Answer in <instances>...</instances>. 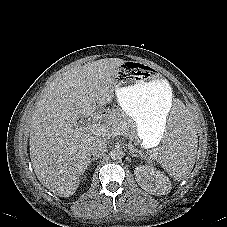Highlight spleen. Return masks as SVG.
<instances>
[{"mask_svg":"<svg viewBox=\"0 0 227 227\" xmlns=\"http://www.w3.org/2000/svg\"><path fill=\"white\" fill-rule=\"evenodd\" d=\"M192 108L185 101L176 102L169 121L163 127V143L145 151L140 159L142 169L156 174L163 169L176 181L192 171L197 154V132L191 118Z\"/></svg>","mask_w":227,"mask_h":227,"instance_id":"spleen-1","label":"spleen"}]
</instances>
